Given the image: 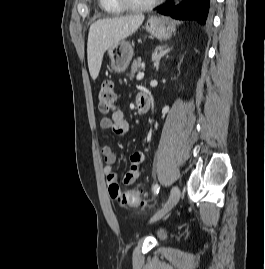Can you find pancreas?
<instances>
[{
    "label": "pancreas",
    "mask_w": 265,
    "mask_h": 269,
    "mask_svg": "<svg viewBox=\"0 0 265 269\" xmlns=\"http://www.w3.org/2000/svg\"><path fill=\"white\" fill-rule=\"evenodd\" d=\"M142 68H143V65L141 63V58L139 57L132 63L129 77L133 78L135 73L139 72Z\"/></svg>",
    "instance_id": "cf45deb5"
}]
</instances>
